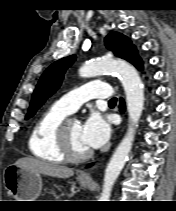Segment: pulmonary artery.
Instances as JSON below:
<instances>
[{
    "label": "pulmonary artery",
    "instance_id": "pulmonary-artery-1",
    "mask_svg": "<svg viewBox=\"0 0 176 211\" xmlns=\"http://www.w3.org/2000/svg\"><path fill=\"white\" fill-rule=\"evenodd\" d=\"M112 91L108 83L92 81L63 95L57 103L69 113L75 112L83 103L96 98H111Z\"/></svg>",
    "mask_w": 176,
    "mask_h": 211
}]
</instances>
